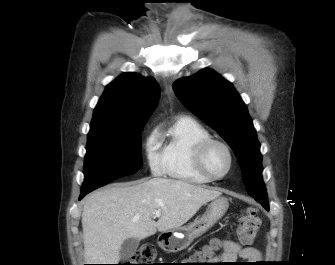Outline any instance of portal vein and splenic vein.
<instances>
[{"instance_id": "18ae733b", "label": "portal vein and splenic vein", "mask_w": 335, "mask_h": 265, "mask_svg": "<svg viewBox=\"0 0 335 265\" xmlns=\"http://www.w3.org/2000/svg\"><path fill=\"white\" fill-rule=\"evenodd\" d=\"M155 217H160L161 216V212L160 211H156L153 213Z\"/></svg>"}]
</instances>
